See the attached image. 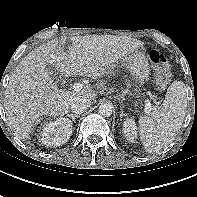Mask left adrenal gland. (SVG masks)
<instances>
[{
    "mask_svg": "<svg viewBox=\"0 0 197 197\" xmlns=\"http://www.w3.org/2000/svg\"><path fill=\"white\" fill-rule=\"evenodd\" d=\"M123 116H125L123 109L121 108V112H120V117L122 118Z\"/></svg>",
    "mask_w": 197,
    "mask_h": 197,
    "instance_id": "obj_1",
    "label": "left adrenal gland"
}]
</instances>
